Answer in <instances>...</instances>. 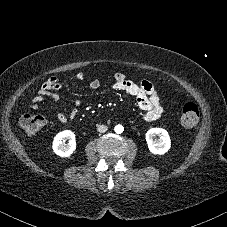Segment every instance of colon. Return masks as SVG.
Returning <instances> with one entry per match:
<instances>
[{
	"label": "colon",
	"mask_w": 227,
	"mask_h": 227,
	"mask_svg": "<svg viewBox=\"0 0 227 227\" xmlns=\"http://www.w3.org/2000/svg\"><path fill=\"white\" fill-rule=\"evenodd\" d=\"M199 120V110L194 103H186L180 114V124L183 128H192L196 126ZM46 118L41 115H23L20 120V126L24 132L30 136L38 134L46 125Z\"/></svg>",
	"instance_id": "1"
}]
</instances>
